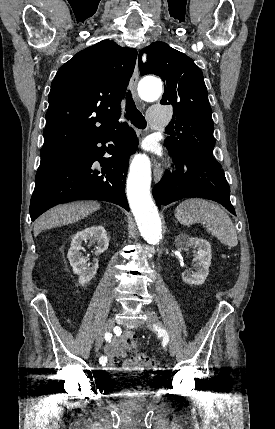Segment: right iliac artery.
Masks as SVG:
<instances>
[{"instance_id":"obj_1","label":"right iliac artery","mask_w":275,"mask_h":429,"mask_svg":"<svg viewBox=\"0 0 275 429\" xmlns=\"http://www.w3.org/2000/svg\"><path fill=\"white\" fill-rule=\"evenodd\" d=\"M104 338H105L106 342H110L111 338H112V334L107 332V333H105ZM99 363L104 366L107 363V358L105 356H101L99 358Z\"/></svg>"}]
</instances>
